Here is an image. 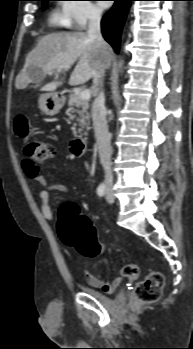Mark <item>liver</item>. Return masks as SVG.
I'll list each match as a JSON object with an SVG mask.
<instances>
[{
	"label": "liver",
	"mask_w": 193,
	"mask_h": 349,
	"mask_svg": "<svg viewBox=\"0 0 193 349\" xmlns=\"http://www.w3.org/2000/svg\"><path fill=\"white\" fill-rule=\"evenodd\" d=\"M112 48L105 41L97 42L84 32H60L46 35L39 39L36 46L28 53L25 65L16 78V87L25 88L34 81L30 68L40 69L42 75L57 70L67 71L78 61L69 84H83L90 79L95 83L103 75L112 60ZM56 79L47 83L41 91L53 92L62 85Z\"/></svg>",
	"instance_id": "6515ba94"
}]
</instances>
